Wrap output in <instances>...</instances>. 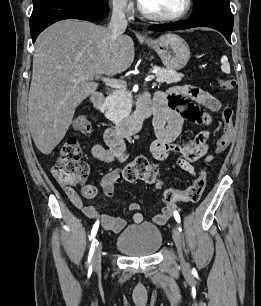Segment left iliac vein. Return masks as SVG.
<instances>
[{
  "label": "left iliac vein",
  "instance_id": "left-iliac-vein-1",
  "mask_svg": "<svg viewBox=\"0 0 261 306\" xmlns=\"http://www.w3.org/2000/svg\"><path fill=\"white\" fill-rule=\"evenodd\" d=\"M172 236L178 250L180 261L183 265H185L186 263L182 254V233L178 226L173 228Z\"/></svg>",
  "mask_w": 261,
  "mask_h": 306
}]
</instances>
